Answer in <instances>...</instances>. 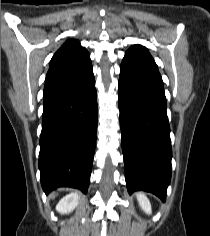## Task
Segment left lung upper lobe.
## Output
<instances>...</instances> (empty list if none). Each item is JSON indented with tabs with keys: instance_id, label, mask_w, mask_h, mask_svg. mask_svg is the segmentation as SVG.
I'll return each instance as SVG.
<instances>
[{
	"instance_id": "obj_1",
	"label": "left lung upper lobe",
	"mask_w": 210,
	"mask_h": 236,
	"mask_svg": "<svg viewBox=\"0 0 210 236\" xmlns=\"http://www.w3.org/2000/svg\"><path fill=\"white\" fill-rule=\"evenodd\" d=\"M123 61L134 64L148 65L157 68L156 63L148 50L141 45H133L132 47H130L126 52Z\"/></svg>"
}]
</instances>
